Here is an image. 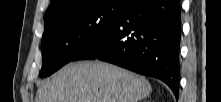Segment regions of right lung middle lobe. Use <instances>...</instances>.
<instances>
[{"mask_svg":"<svg viewBox=\"0 0 221 102\" xmlns=\"http://www.w3.org/2000/svg\"><path fill=\"white\" fill-rule=\"evenodd\" d=\"M128 5L129 0H83L45 20L40 76H49L73 61L119 20Z\"/></svg>","mask_w":221,"mask_h":102,"instance_id":"right-lung-middle-lobe-1","label":"right lung middle lobe"}]
</instances>
